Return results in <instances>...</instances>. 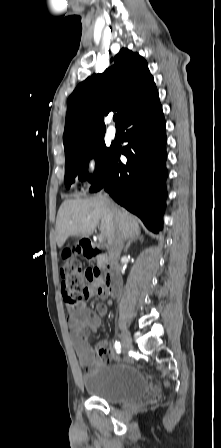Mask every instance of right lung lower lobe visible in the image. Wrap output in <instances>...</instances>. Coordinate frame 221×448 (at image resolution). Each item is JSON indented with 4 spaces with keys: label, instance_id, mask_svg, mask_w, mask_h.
I'll return each instance as SVG.
<instances>
[{
    "label": "right lung lower lobe",
    "instance_id": "right-lung-lower-lobe-1",
    "mask_svg": "<svg viewBox=\"0 0 221 448\" xmlns=\"http://www.w3.org/2000/svg\"><path fill=\"white\" fill-rule=\"evenodd\" d=\"M126 130L123 148L114 146L102 175L92 182L91 192L102 188L120 205L141 218L157 233L162 229L167 177L166 132L158 92L122 120ZM127 162L120 161V155Z\"/></svg>",
    "mask_w": 221,
    "mask_h": 448
}]
</instances>
